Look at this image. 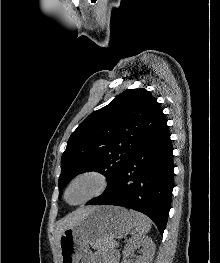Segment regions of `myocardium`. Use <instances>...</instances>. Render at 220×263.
<instances>
[{
  "label": "myocardium",
  "mask_w": 220,
  "mask_h": 263,
  "mask_svg": "<svg viewBox=\"0 0 220 263\" xmlns=\"http://www.w3.org/2000/svg\"><path fill=\"white\" fill-rule=\"evenodd\" d=\"M84 179H91L95 183L94 189L85 197L77 200V201H70L69 200V193L72 188L81 180ZM109 186V178L106 173L97 169H88L76 174L67 184L65 191H64V200L69 205H81L88 201H91L100 195H102Z\"/></svg>",
  "instance_id": "myocardium-1"
}]
</instances>
